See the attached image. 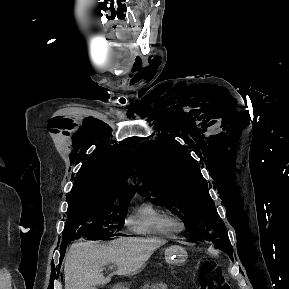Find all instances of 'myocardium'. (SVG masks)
<instances>
[{
	"label": "myocardium",
	"mask_w": 289,
	"mask_h": 289,
	"mask_svg": "<svg viewBox=\"0 0 289 289\" xmlns=\"http://www.w3.org/2000/svg\"><path fill=\"white\" fill-rule=\"evenodd\" d=\"M172 225L177 231H183L185 228V224L182 219L176 215H172Z\"/></svg>",
	"instance_id": "obj_1"
}]
</instances>
